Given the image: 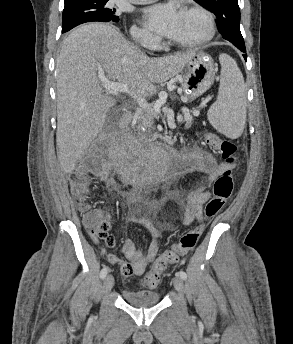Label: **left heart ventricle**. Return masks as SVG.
Listing matches in <instances>:
<instances>
[{"label": "left heart ventricle", "mask_w": 293, "mask_h": 344, "mask_svg": "<svg viewBox=\"0 0 293 344\" xmlns=\"http://www.w3.org/2000/svg\"><path fill=\"white\" fill-rule=\"evenodd\" d=\"M204 18L196 12H180L179 21L172 35L171 41H191L205 33Z\"/></svg>", "instance_id": "obj_1"}]
</instances>
